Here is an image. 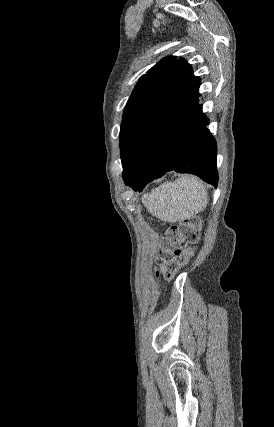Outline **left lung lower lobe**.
Returning a JSON list of instances; mask_svg holds the SVG:
<instances>
[{
    "mask_svg": "<svg viewBox=\"0 0 274 427\" xmlns=\"http://www.w3.org/2000/svg\"><path fill=\"white\" fill-rule=\"evenodd\" d=\"M199 85L196 77L145 135L134 165L123 175L135 191L169 171L192 173L217 186V147L198 104Z\"/></svg>",
    "mask_w": 274,
    "mask_h": 427,
    "instance_id": "0a47b994",
    "label": "left lung lower lobe"
}]
</instances>
